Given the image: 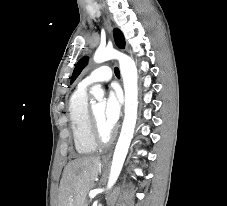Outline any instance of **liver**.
I'll list each match as a JSON object with an SVG mask.
<instances>
[{
  "label": "liver",
  "instance_id": "obj_1",
  "mask_svg": "<svg viewBox=\"0 0 227 206\" xmlns=\"http://www.w3.org/2000/svg\"><path fill=\"white\" fill-rule=\"evenodd\" d=\"M101 169L100 157L83 156L65 167L59 186L58 206H83Z\"/></svg>",
  "mask_w": 227,
  "mask_h": 206
}]
</instances>
